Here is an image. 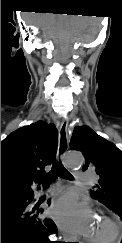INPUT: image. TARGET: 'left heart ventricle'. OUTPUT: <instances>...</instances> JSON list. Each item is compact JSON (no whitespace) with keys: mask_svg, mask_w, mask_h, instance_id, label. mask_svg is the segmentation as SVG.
I'll return each mask as SVG.
<instances>
[{"mask_svg":"<svg viewBox=\"0 0 122 243\" xmlns=\"http://www.w3.org/2000/svg\"><path fill=\"white\" fill-rule=\"evenodd\" d=\"M104 229H105V226H104L103 222L100 221L99 219L95 220L91 226L89 235L90 236L100 235L104 231Z\"/></svg>","mask_w":122,"mask_h":243,"instance_id":"b2bd125f","label":"left heart ventricle"}]
</instances>
